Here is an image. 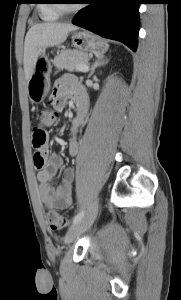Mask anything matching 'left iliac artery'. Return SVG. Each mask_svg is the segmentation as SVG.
I'll use <instances>...</instances> for the list:
<instances>
[{"label":"left iliac artery","mask_w":181,"mask_h":300,"mask_svg":"<svg viewBox=\"0 0 181 300\" xmlns=\"http://www.w3.org/2000/svg\"><path fill=\"white\" fill-rule=\"evenodd\" d=\"M84 211H80L73 219V224L77 223L78 221H80L83 217H84Z\"/></svg>","instance_id":"obj_1"}]
</instances>
